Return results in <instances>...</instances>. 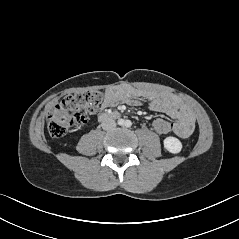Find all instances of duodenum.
I'll return each instance as SVG.
<instances>
[{
  "label": "duodenum",
  "mask_w": 239,
  "mask_h": 239,
  "mask_svg": "<svg viewBox=\"0 0 239 239\" xmlns=\"http://www.w3.org/2000/svg\"><path fill=\"white\" fill-rule=\"evenodd\" d=\"M119 117H120V113L117 111L105 112L99 116V120L106 121V120H111V119H118Z\"/></svg>",
  "instance_id": "duodenum-1"
}]
</instances>
